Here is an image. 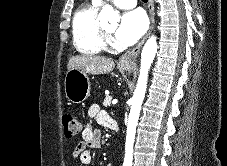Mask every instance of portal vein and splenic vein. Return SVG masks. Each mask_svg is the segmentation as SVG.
I'll use <instances>...</instances> for the list:
<instances>
[{
	"instance_id": "1",
	"label": "portal vein and splenic vein",
	"mask_w": 227,
	"mask_h": 166,
	"mask_svg": "<svg viewBox=\"0 0 227 166\" xmlns=\"http://www.w3.org/2000/svg\"><path fill=\"white\" fill-rule=\"evenodd\" d=\"M117 103V100H114L113 102H112V104H116Z\"/></svg>"
}]
</instances>
